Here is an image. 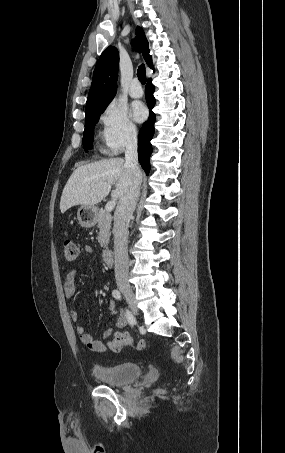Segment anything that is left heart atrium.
Listing matches in <instances>:
<instances>
[{"instance_id":"left-heart-atrium-1","label":"left heart atrium","mask_w":285,"mask_h":453,"mask_svg":"<svg viewBox=\"0 0 285 453\" xmlns=\"http://www.w3.org/2000/svg\"><path fill=\"white\" fill-rule=\"evenodd\" d=\"M132 117L137 122H142L147 116L146 107L141 102H134L131 107Z\"/></svg>"}]
</instances>
